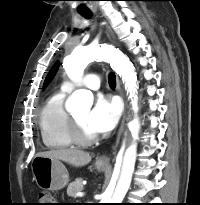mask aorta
Listing matches in <instances>:
<instances>
[{
    "instance_id": "obj_1",
    "label": "aorta",
    "mask_w": 200,
    "mask_h": 205,
    "mask_svg": "<svg viewBox=\"0 0 200 205\" xmlns=\"http://www.w3.org/2000/svg\"><path fill=\"white\" fill-rule=\"evenodd\" d=\"M95 60L108 61L112 69L122 78L125 84L127 93L130 94L133 109H136V93L138 89L137 75L135 68L129 58L122 53L119 49L107 44L88 45L83 47H76L68 55L63 63L65 71L70 79L78 81L84 72L86 66ZM70 104L74 108L89 110L93 104V95L87 90L75 91L71 98ZM133 136V142L126 149L123 157L121 173L112 195L105 193L102 196L100 203L107 204H120L124 199L131 183L132 174L137 154V143L139 133V122L134 119L130 124Z\"/></svg>"
}]
</instances>
